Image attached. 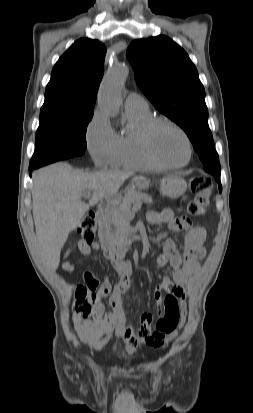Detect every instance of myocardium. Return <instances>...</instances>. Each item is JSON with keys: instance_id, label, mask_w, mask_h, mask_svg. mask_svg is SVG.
<instances>
[{"instance_id": "1", "label": "myocardium", "mask_w": 253, "mask_h": 413, "mask_svg": "<svg viewBox=\"0 0 253 413\" xmlns=\"http://www.w3.org/2000/svg\"><path fill=\"white\" fill-rule=\"evenodd\" d=\"M167 124L174 128L176 131H178L182 137L184 138L187 146V157L184 162L179 163V164H169L166 163L162 160H160L154 153L152 146H151V134L154 128L159 125V124ZM139 143L141 150L145 157L156 167L162 168V169H179L183 168L186 165L189 164L191 158H192V153H193V146L190 137L186 133V131L175 121L167 118V117H151L149 120H147L142 127L140 128L139 131Z\"/></svg>"}]
</instances>
